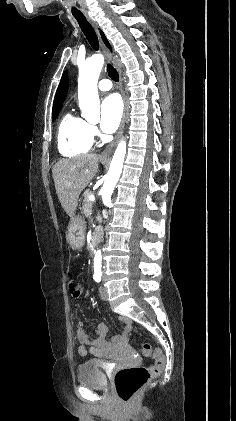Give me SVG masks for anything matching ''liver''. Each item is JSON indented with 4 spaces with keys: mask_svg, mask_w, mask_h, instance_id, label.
Returning <instances> with one entry per match:
<instances>
[{
    "mask_svg": "<svg viewBox=\"0 0 236 421\" xmlns=\"http://www.w3.org/2000/svg\"><path fill=\"white\" fill-rule=\"evenodd\" d=\"M98 168V154L61 158L52 168L57 196L69 217L75 215L81 190L92 180Z\"/></svg>",
    "mask_w": 236,
    "mask_h": 421,
    "instance_id": "1",
    "label": "liver"
}]
</instances>
